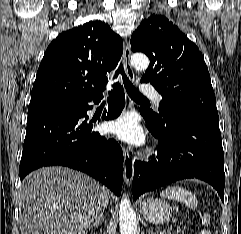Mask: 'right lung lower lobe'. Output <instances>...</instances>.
<instances>
[{"mask_svg":"<svg viewBox=\"0 0 241 234\" xmlns=\"http://www.w3.org/2000/svg\"><path fill=\"white\" fill-rule=\"evenodd\" d=\"M99 97L90 101L99 103ZM88 102L63 112L28 117L20 162V179L43 166L62 165L87 173L120 195L123 182V152L114 139L92 132ZM125 106L119 83L111 92L108 111L102 119L117 118ZM107 113V115H106Z\"/></svg>","mask_w":241,"mask_h":234,"instance_id":"98d812e1","label":"right lung lower lobe"}]
</instances>
